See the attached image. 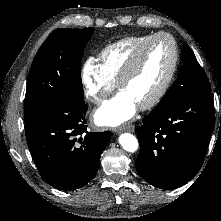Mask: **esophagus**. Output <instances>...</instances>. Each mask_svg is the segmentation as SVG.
<instances>
[{
  "mask_svg": "<svg viewBox=\"0 0 221 221\" xmlns=\"http://www.w3.org/2000/svg\"><path fill=\"white\" fill-rule=\"evenodd\" d=\"M134 126L133 125H126L123 127H120L115 130L116 133H121L122 131H128V132H133L134 131Z\"/></svg>",
  "mask_w": 221,
  "mask_h": 221,
  "instance_id": "34e87169",
  "label": "esophagus"
}]
</instances>
